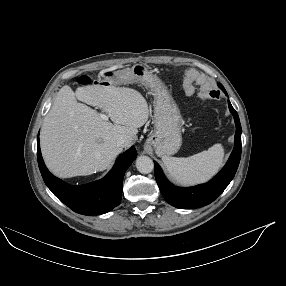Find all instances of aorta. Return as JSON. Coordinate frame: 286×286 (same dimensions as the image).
<instances>
[{"label":"aorta","instance_id":"762f6f07","mask_svg":"<svg viewBox=\"0 0 286 286\" xmlns=\"http://www.w3.org/2000/svg\"><path fill=\"white\" fill-rule=\"evenodd\" d=\"M136 168L142 174H148L154 169V163L148 156L141 155L136 159Z\"/></svg>","mask_w":286,"mask_h":286}]
</instances>
